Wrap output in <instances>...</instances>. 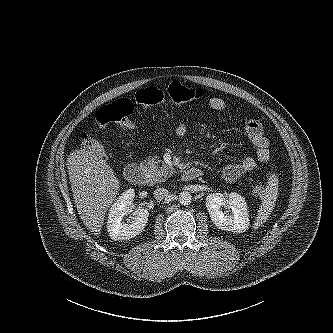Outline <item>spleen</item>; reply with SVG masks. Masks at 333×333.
I'll use <instances>...</instances> for the list:
<instances>
[{"instance_id": "1", "label": "spleen", "mask_w": 333, "mask_h": 333, "mask_svg": "<svg viewBox=\"0 0 333 333\" xmlns=\"http://www.w3.org/2000/svg\"><path fill=\"white\" fill-rule=\"evenodd\" d=\"M278 183V177L275 174H271L268 179V185L260 193L262 202L254 223V229L261 227L271 214L278 195Z\"/></svg>"}]
</instances>
